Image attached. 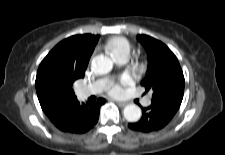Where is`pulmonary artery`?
<instances>
[{"mask_svg": "<svg viewBox=\"0 0 225 155\" xmlns=\"http://www.w3.org/2000/svg\"><path fill=\"white\" fill-rule=\"evenodd\" d=\"M116 62L119 64L125 63L129 59L128 53H122L114 57ZM107 80L106 79H100L96 82L89 84L87 86L81 87L78 89V96L82 99H85L91 95L98 94L101 91H103L107 86ZM151 104V98L146 97L143 99V105L149 106Z\"/></svg>", "mask_w": 225, "mask_h": 155, "instance_id": "e3ab8cb5", "label": "pulmonary artery"}]
</instances>
